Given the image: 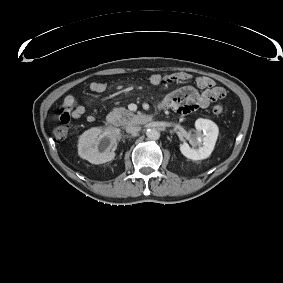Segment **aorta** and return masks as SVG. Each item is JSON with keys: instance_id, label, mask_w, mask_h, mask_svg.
I'll use <instances>...</instances> for the list:
<instances>
[{"instance_id": "obj_1", "label": "aorta", "mask_w": 283, "mask_h": 283, "mask_svg": "<svg viewBox=\"0 0 283 283\" xmlns=\"http://www.w3.org/2000/svg\"><path fill=\"white\" fill-rule=\"evenodd\" d=\"M147 137L149 140H158L160 138V132L155 128H151L147 131Z\"/></svg>"}]
</instances>
